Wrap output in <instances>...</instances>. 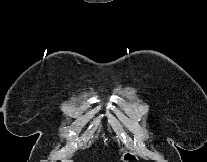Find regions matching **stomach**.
<instances>
[{
  "mask_svg": "<svg viewBox=\"0 0 207 162\" xmlns=\"http://www.w3.org/2000/svg\"><path fill=\"white\" fill-rule=\"evenodd\" d=\"M121 160L123 162H133L132 160H137V157L131 152L123 151Z\"/></svg>",
  "mask_w": 207,
  "mask_h": 162,
  "instance_id": "obj_1",
  "label": "stomach"
}]
</instances>
